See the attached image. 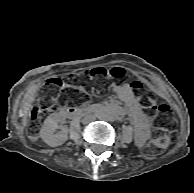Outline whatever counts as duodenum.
Segmentation results:
<instances>
[{"label": "duodenum", "mask_w": 194, "mask_h": 193, "mask_svg": "<svg viewBox=\"0 0 194 193\" xmlns=\"http://www.w3.org/2000/svg\"><path fill=\"white\" fill-rule=\"evenodd\" d=\"M92 111H95V108L91 109ZM84 111L76 108V107H67L63 110V113L69 117H78L80 116Z\"/></svg>", "instance_id": "obj_1"}]
</instances>
